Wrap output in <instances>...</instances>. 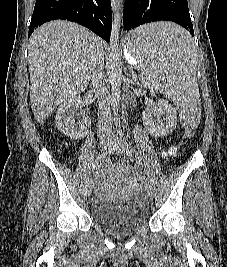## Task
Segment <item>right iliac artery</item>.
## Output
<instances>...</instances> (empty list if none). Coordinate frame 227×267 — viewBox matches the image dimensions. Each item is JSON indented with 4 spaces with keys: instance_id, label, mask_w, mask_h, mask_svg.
Returning a JSON list of instances; mask_svg holds the SVG:
<instances>
[{
    "instance_id": "1",
    "label": "right iliac artery",
    "mask_w": 227,
    "mask_h": 267,
    "mask_svg": "<svg viewBox=\"0 0 227 267\" xmlns=\"http://www.w3.org/2000/svg\"><path fill=\"white\" fill-rule=\"evenodd\" d=\"M112 149L109 150V151H106L104 153H102L98 158H97V161H96V165L93 166L92 168V171H94L95 169H97L98 167H100L104 161V159L106 158V156L111 153Z\"/></svg>"
}]
</instances>
